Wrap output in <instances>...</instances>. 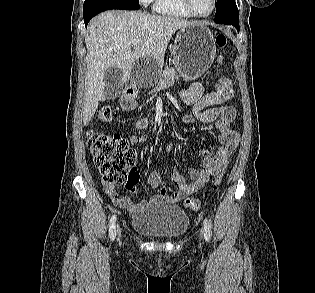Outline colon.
Wrapping results in <instances>:
<instances>
[{
    "label": "colon",
    "mask_w": 315,
    "mask_h": 293,
    "mask_svg": "<svg viewBox=\"0 0 315 293\" xmlns=\"http://www.w3.org/2000/svg\"><path fill=\"white\" fill-rule=\"evenodd\" d=\"M227 36L218 34L216 36V45L223 49L227 45ZM221 63V58L218 59ZM215 91H221L224 94L235 93V88L231 87L234 80L230 78H214ZM97 117L100 121L109 123L114 118L113 110L110 106L104 105L99 108ZM88 148L93 161L101 174L104 183L111 185H125L130 191H136L138 183V173L133 168L136 158L135 151L130 148L127 139L119 135H108L95 131L88 133ZM224 170L218 172L212 180V186L216 189L222 182ZM186 208L198 210L201 206L196 198H187L184 201Z\"/></svg>",
    "instance_id": "5ec220e1"
}]
</instances>
